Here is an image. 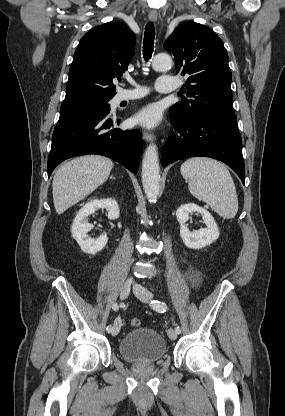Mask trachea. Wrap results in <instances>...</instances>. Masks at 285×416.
I'll use <instances>...</instances> for the list:
<instances>
[{
    "mask_svg": "<svg viewBox=\"0 0 285 416\" xmlns=\"http://www.w3.org/2000/svg\"><path fill=\"white\" fill-rule=\"evenodd\" d=\"M155 28L153 23H147L144 32L143 56L147 62L154 51Z\"/></svg>",
    "mask_w": 285,
    "mask_h": 416,
    "instance_id": "3493384b",
    "label": "trachea"
}]
</instances>
